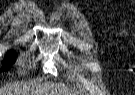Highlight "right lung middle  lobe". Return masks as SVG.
<instances>
[{"mask_svg":"<svg viewBox=\"0 0 135 95\" xmlns=\"http://www.w3.org/2000/svg\"><path fill=\"white\" fill-rule=\"evenodd\" d=\"M15 62L14 53L12 51L8 52L7 57L4 60V66L0 69L1 71H6Z\"/></svg>","mask_w":135,"mask_h":95,"instance_id":"right-lung-middle-lobe-1","label":"right lung middle lobe"}]
</instances>
